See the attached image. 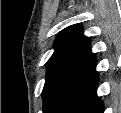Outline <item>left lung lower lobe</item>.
<instances>
[{
	"label": "left lung lower lobe",
	"mask_w": 121,
	"mask_h": 113,
	"mask_svg": "<svg viewBox=\"0 0 121 113\" xmlns=\"http://www.w3.org/2000/svg\"><path fill=\"white\" fill-rule=\"evenodd\" d=\"M95 87L78 103L71 113H103V104L96 95Z\"/></svg>",
	"instance_id": "0a47b994"
}]
</instances>
